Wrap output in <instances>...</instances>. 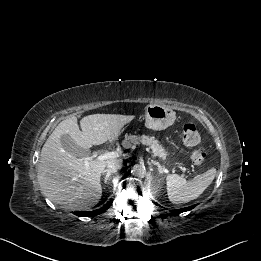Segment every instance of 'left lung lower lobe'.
Masks as SVG:
<instances>
[{"label":"left lung lower lobe","mask_w":261,"mask_h":261,"mask_svg":"<svg viewBox=\"0 0 261 261\" xmlns=\"http://www.w3.org/2000/svg\"><path fill=\"white\" fill-rule=\"evenodd\" d=\"M155 204H156L157 206H159L157 203H155ZM194 207H195V205L190 206V207H186V208H184V209L174 210V211H172V212L179 214V213H182V212H185V211L192 210Z\"/></svg>","instance_id":"obj_1"}]
</instances>
